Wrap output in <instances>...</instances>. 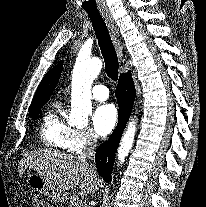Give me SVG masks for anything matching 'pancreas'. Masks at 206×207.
<instances>
[{"instance_id": "1", "label": "pancreas", "mask_w": 206, "mask_h": 207, "mask_svg": "<svg viewBox=\"0 0 206 207\" xmlns=\"http://www.w3.org/2000/svg\"><path fill=\"white\" fill-rule=\"evenodd\" d=\"M68 207H84V202L78 196H72Z\"/></svg>"}]
</instances>
